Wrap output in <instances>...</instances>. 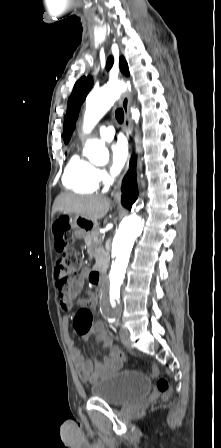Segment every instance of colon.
<instances>
[{
	"label": "colon",
	"mask_w": 221,
	"mask_h": 448,
	"mask_svg": "<svg viewBox=\"0 0 221 448\" xmlns=\"http://www.w3.org/2000/svg\"><path fill=\"white\" fill-rule=\"evenodd\" d=\"M53 229L57 239L61 241V246L63 247L62 257L56 266L57 287L59 291H66L72 284L70 275L78 269L77 257L73 248L74 238L72 227L69 219L60 217L56 220ZM89 325L90 322H87V328ZM124 359L127 358L124 357ZM149 374L152 377H158L159 369L155 364L152 365ZM156 388L164 400L170 399L171 387L166 378H158L156 381Z\"/></svg>",
	"instance_id": "5ec220e1"
}]
</instances>
